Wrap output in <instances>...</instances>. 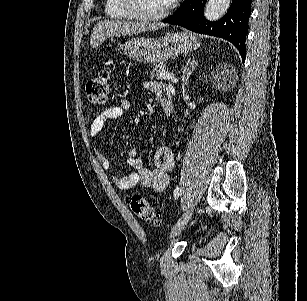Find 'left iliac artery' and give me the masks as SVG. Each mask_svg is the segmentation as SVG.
Masks as SVG:
<instances>
[{
  "instance_id": "1",
  "label": "left iliac artery",
  "mask_w": 307,
  "mask_h": 301,
  "mask_svg": "<svg viewBox=\"0 0 307 301\" xmlns=\"http://www.w3.org/2000/svg\"><path fill=\"white\" fill-rule=\"evenodd\" d=\"M181 192H182V187L177 186L174 190V198L177 199L181 195Z\"/></svg>"
}]
</instances>
